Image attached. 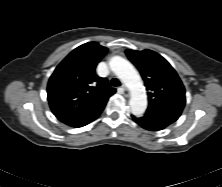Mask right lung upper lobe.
I'll list each match as a JSON object with an SVG mask.
<instances>
[{"mask_svg":"<svg viewBox=\"0 0 222 187\" xmlns=\"http://www.w3.org/2000/svg\"><path fill=\"white\" fill-rule=\"evenodd\" d=\"M107 53L97 42L74 49L55 69L48 87V101L55 116L85 115L102 110L115 93L95 68Z\"/></svg>","mask_w":222,"mask_h":187,"instance_id":"cb5924a9","label":"right lung upper lobe"}]
</instances>
